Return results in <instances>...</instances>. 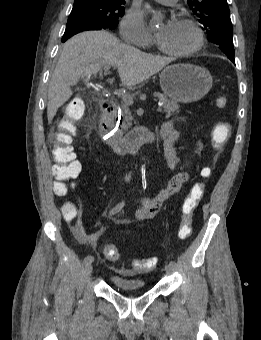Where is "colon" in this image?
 <instances>
[{"mask_svg":"<svg viewBox=\"0 0 261 340\" xmlns=\"http://www.w3.org/2000/svg\"><path fill=\"white\" fill-rule=\"evenodd\" d=\"M215 106L224 109L227 106L225 97H217ZM85 114V105L79 99L71 100L65 107L64 117L59 121L56 131L50 136L51 153L54 160L52 175L55 179L53 183L54 192L58 195H65L69 190L68 182L76 178L81 172V164L76 159L71 146L73 137L77 133V123L80 122ZM231 126L227 122L217 123L212 130V142L215 148H221L229 139ZM203 177H209L211 170L206 168L202 171ZM206 184L204 181L195 183L189 190L181 205V220L178 235L181 239H187L192 234L193 212L202 199ZM62 212L72 215L75 207L71 203H66ZM104 256L109 261H117L119 250L113 244H107L103 249ZM156 263L154 258L134 259L132 266L135 270H145L153 267ZM129 272L130 270H125Z\"/></svg>","mask_w":261,"mask_h":340,"instance_id":"5ec220e1","label":"colon"}]
</instances>
